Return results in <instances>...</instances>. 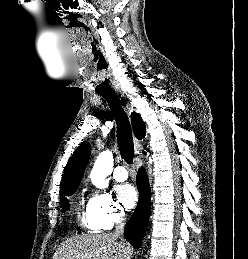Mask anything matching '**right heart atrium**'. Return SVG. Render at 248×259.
Masks as SVG:
<instances>
[{"label": "right heart atrium", "instance_id": "obj_1", "mask_svg": "<svg viewBox=\"0 0 248 259\" xmlns=\"http://www.w3.org/2000/svg\"><path fill=\"white\" fill-rule=\"evenodd\" d=\"M87 209L96 230H106L124 219V211L110 193L98 191L90 196Z\"/></svg>", "mask_w": 248, "mask_h": 259}]
</instances>
